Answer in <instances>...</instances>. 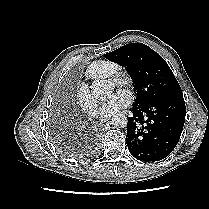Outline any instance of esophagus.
Segmentation results:
<instances>
[{
	"mask_svg": "<svg viewBox=\"0 0 209 209\" xmlns=\"http://www.w3.org/2000/svg\"><path fill=\"white\" fill-rule=\"evenodd\" d=\"M108 120H109V119H103V120H101V121H100V125H101V126L106 125V124L108 123Z\"/></svg>",
	"mask_w": 209,
	"mask_h": 209,
	"instance_id": "obj_1",
	"label": "esophagus"
}]
</instances>
